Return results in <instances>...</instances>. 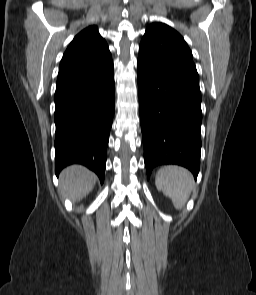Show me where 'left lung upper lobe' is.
<instances>
[{"label":"left lung upper lobe","instance_id":"1","mask_svg":"<svg viewBox=\"0 0 256 295\" xmlns=\"http://www.w3.org/2000/svg\"><path fill=\"white\" fill-rule=\"evenodd\" d=\"M138 65L172 83L200 93L199 76L183 37L163 23L150 24L139 47Z\"/></svg>","mask_w":256,"mask_h":295}]
</instances>
